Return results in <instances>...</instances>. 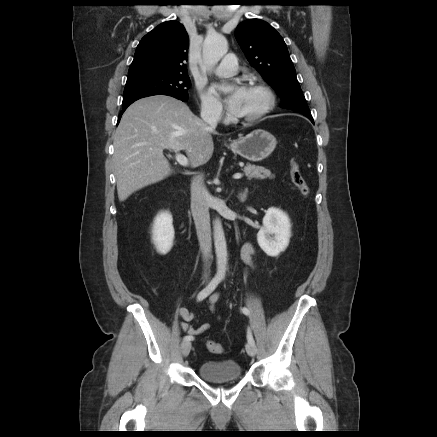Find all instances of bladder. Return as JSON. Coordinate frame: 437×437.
Wrapping results in <instances>:
<instances>
[{"label": "bladder", "mask_w": 437, "mask_h": 437, "mask_svg": "<svg viewBox=\"0 0 437 437\" xmlns=\"http://www.w3.org/2000/svg\"><path fill=\"white\" fill-rule=\"evenodd\" d=\"M198 374L209 382L235 381L242 377V368L234 360L205 361L199 365Z\"/></svg>", "instance_id": "31cf9c89"}]
</instances>
